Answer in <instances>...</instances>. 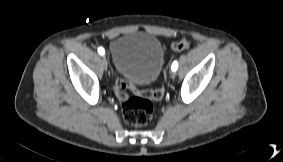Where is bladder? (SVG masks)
<instances>
[{
    "instance_id": "1",
    "label": "bladder",
    "mask_w": 283,
    "mask_h": 162,
    "mask_svg": "<svg viewBox=\"0 0 283 162\" xmlns=\"http://www.w3.org/2000/svg\"><path fill=\"white\" fill-rule=\"evenodd\" d=\"M110 51L116 72L135 86L151 85L162 72L163 47L151 34H124L112 41Z\"/></svg>"
}]
</instances>
